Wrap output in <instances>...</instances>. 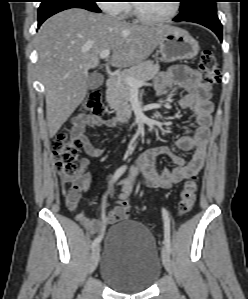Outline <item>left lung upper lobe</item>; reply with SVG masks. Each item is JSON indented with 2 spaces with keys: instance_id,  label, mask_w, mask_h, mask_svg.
I'll list each match as a JSON object with an SVG mask.
<instances>
[{
  "instance_id": "5c2ea615",
  "label": "left lung upper lobe",
  "mask_w": 248,
  "mask_h": 299,
  "mask_svg": "<svg viewBox=\"0 0 248 299\" xmlns=\"http://www.w3.org/2000/svg\"><path fill=\"white\" fill-rule=\"evenodd\" d=\"M216 10V0H181L180 15L184 18Z\"/></svg>"
}]
</instances>
